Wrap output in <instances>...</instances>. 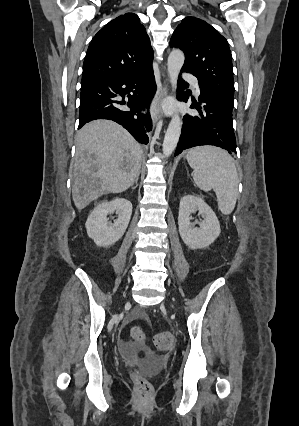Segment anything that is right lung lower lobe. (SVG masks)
<instances>
[{"label":"right lung lower lobe","instance_id":"1","mask_svg":"<svg viewBox=\"0 0 299 426\" xmlns=\"http://www.w3.org/2000/svg\"><path fill=\"white\" fill-rule=\"evenodd\" d=\"M155 90L152 66L108 81L84 82L78 128L95 119H109L121 124L138 142L147 144L152 120L149 113L140 111L149 108Z\"/></svg>","mask_w":299,"mask_h":426}]
</instances>
